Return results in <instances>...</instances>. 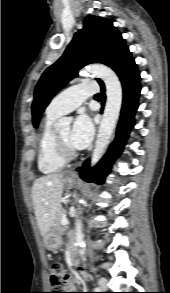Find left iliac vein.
<instances>
[{"mask_svg": "<svg viewBox=\"0 0 170 293\" xmlns=\"http://www.w3.org/2000/svg\"><path fill=\"white\" fill-rule=\"evenodd\" d=\"M107 283H108V281H107V279L106 278H100L99 279V285H100V288L102 289V290H106L107 289Z\"/></svg>", "mask_w": 170, "mask_h": 293, "instance_id": "left-iliac-vein-1", "label": "left iliac vein"}]
</instances>
